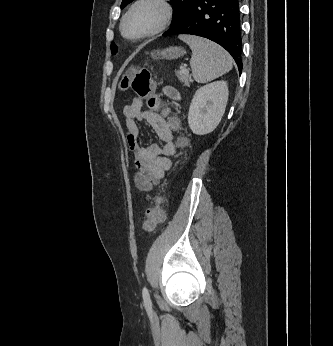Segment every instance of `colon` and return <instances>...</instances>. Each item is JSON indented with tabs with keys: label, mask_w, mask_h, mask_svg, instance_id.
I'll return each mask as SVG.
<instances>
[{
	"label": "colon",
	"mask_w": 333,
	"mask_h": 346,
	"mask_svg": "<svg viewBox=\"0 0 333 346\" xmlns=\"http://www.w3.org/2000/svg\"><path fill=\"white\" fill-rule=\"evenodd\" d=\"M123 90L131 89L138 97L148 101L151 108H155L159 102L156 85L152 79L151 72L147 68H130L121 81ZM188 144V137L183 135L178 140L181 148ZM164 211L162 208V197L156 196L154 204L146 210L145 218L141 230L144 233L152 232L164 221Z\"/></svg>",
	"instance_id": "5ec220e1"
}]
</instances>
